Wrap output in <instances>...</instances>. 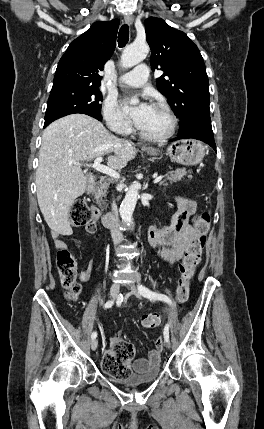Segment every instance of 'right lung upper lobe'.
<instances>
[{"instance_id": "1", "label": "right lung upper lobe", "mask_w": 264, "mask_h": 429, "mask_svg": "<svg viewBox=\"0 0 264 429\" xmlns=\"http://www.w3.org/2000/svg\"><path fill=\"white\" fill-rule=\"evenodd\" d=\"M118 26V19L98 21L72 41L58 63L52 90L66 86L98 87L102 78L98 72L114 52Z\"/></svg>"}]
</instances>
